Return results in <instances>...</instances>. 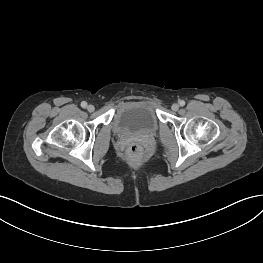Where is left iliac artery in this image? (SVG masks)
Returning a JSON list of instances; mask_svg holds the SVG:
<instances>
[{"label":"left iliac artery","instance_id":"44dca946","mask_svg":"<svg viewBox=\"0 0 263 263\" xmlns=\"http://www.w3.org/2000/svg\"><path fill=\"white\" fill-rule=\"evenodd\" d=\"M179 105H180V106H184V105H185V101H184V100H180V101H179Z\"/></svg>","mask_w":263,"mask_h":263}]
</instances>
